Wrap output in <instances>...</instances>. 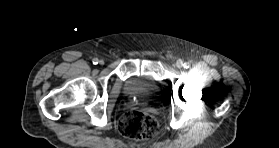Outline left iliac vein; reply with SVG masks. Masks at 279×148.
<instances>
[{
  "label": "left iliac vein",
  "mask_w": 279,
  "mask_h": 148,
  "mask_svg": "<svg viewBox=\"0 0 279 148\" xmlns=\"http://www.w3.org/2000/svg\"><path fill=\"white\" fill-rule=\"evenodd\" d=\"M176 66H177L178 68H181V67L183 66L182 61H181V60L177 61V62H176Z\"/></svg>",
  "instance_id": "1"
}]
</instances>
